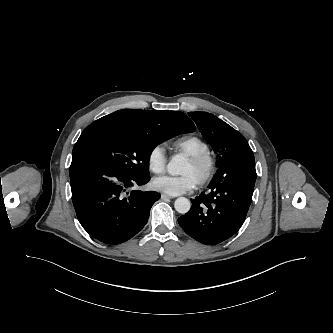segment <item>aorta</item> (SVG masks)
<instances>
[{
	"instance_id": "aorta-1",
	"label": "aorta",
	"mask_w": 333,
	"mask_h": 333,
	"mask_svg": "<svg viewBox=\"0 0 333 333\" xmlns=\"http://www.w3.org/2000/svg\"><path fill=\"white\" fill-rule=\"evenodd\" d=\"M183 166V159L180 156L175 155L167 164V170L172 176H178L181 175ZM174 207L178 213L185 214L190 210L191 203L187 198L180 197L175 200Z\"/></svg>"
}]
</instances>
